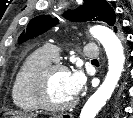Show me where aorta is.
<instances>
[{"mask_svg": "<svg viewBox=\"0 0 133 118\" xmlns=\"http://www.w3.org/2000/svg\"><path fill=\"white\" fill-rule=\"evenodd\" d=\"M94 38L103 45L108 58V72L105 80L88 99L80 113V118H95L114 92L124 71L125 56L122 44L112 30L96 25L90 29Z\"/></svg>", "mask_w": 133, "mask_h": 118, "instance_id": "762f6f07", "label": "aorta"}]
</instances>
